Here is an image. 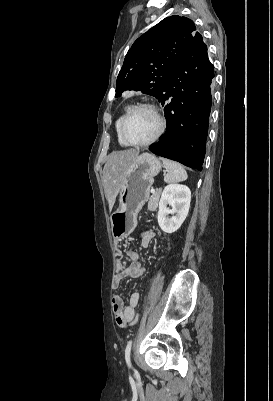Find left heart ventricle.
I'll use <instances>...</instances> for the list:
<instances>
[{
  "mask_svg": "<svg viewBox=\"0 0 273 401\" xmlns=\"http://www.w3.org/2000/svg\"><path fill=\"white\" fill-rule=\"evenodd\" d=\"M158 129L157 117L147 110H140L130 117L125 126L124 134L130 141L143 142L152 138Z\"/></svg>",
  "mask_w": 273,
  "mask_h": 401,
  "instance_id": "1",
  "label": "left heart ventricle"
}]
</instances>
